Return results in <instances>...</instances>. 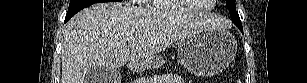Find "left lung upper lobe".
Wrapping results in <instances>:
<instances>
[{
    "label": "left lung upper lobe",
    "mask_w": 307,
    "mask_h": 83,
    "mask_svg": "<svg viewBox=\"0 0 307 83\" xmlns=\"http://www.w3.org/2000/svg\"><path fill=\"white\" fill-rule=\"evenodd\" d=\"M227 7L229 9L230 16L232 17L233 23L238 27L242 26L238 12L236 11L235 0H226Z\"/></svg>",
    "instance_id": "left-lung-upper-lobe-1"
}]
</instances>
